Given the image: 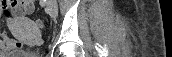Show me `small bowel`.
<instances>
[{"label":"small bowel","instance_id":"obj_1","mask_svg":"<svg viewBox=\"0 0 172 57\" xmlns=\"http://www.w3.org/2000/svg\"><path fill=\"white\" fill-rule=\"evenodd\" d=\"M8 4L18 6L17 18H22L25 14H29L33 11L34 1L32 0H21L13 1ZM2 3H0L1 10ZM22 47V44L19 40L13 39L7 35L6 32H0V52L1 53H13L18 51Z\"/></svg>","mask_w":172,"mask_h":57}]
</instances>
